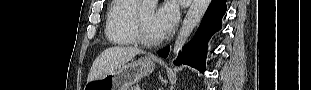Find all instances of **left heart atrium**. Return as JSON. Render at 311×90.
<instances>
[{"label":"left heart atrium","instance_id":"obj_1","mask_svg":"<svg viewBox=\"0 0 311 90\" xmlns=\"http://www.w3.org/2000/svg\"><path fill=\"white\" fill-rule=\"evenodd\" d=\"M179 18V9L175 1H166L154 13L153 26L164 35L168 33Z\"/></svg>","mask_w":311,"mask_h":90}]
</instances>
